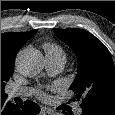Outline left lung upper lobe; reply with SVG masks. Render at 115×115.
Here are the masks:
<instances>
[{"mask_svg":"<svg viewBox=\"0 0 115 115\" xmlns=\"http://www.w3.org/2000/svg\"><path fill=\"white\" fill-rule=\"evenodd\" d=\"M78 60V73L71 85L81 108L96 115H115V68L110 52L90 32L82 29H54Z\"/></svg>","mask_w":115,"mask_h":115,"instance_id":"1","label":"left lung upper lobe"}]
</instances>
